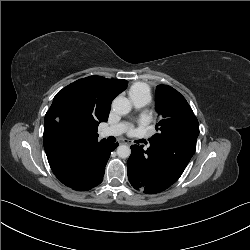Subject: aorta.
Segmentation results:
<instances>
[{
    "instance_id": "aorta-1",
    "label": "aorta",
    "mask_w": 250,
    "mask_h": 250,
    "mask_svg": "<svg viewBox=\"0 0 250 250\" xmlns=\"http://www.w3.org/2000/svg\"><path fill=\"white\" fill-rule=\"evenodd\" d=\"M112 109L118 115H126L131 111L130 102L122 97H117L112 102ZM131 154V150L126 145H120L117 148V155L120 158H128Z\"/></svg>"
}]
</instances>
